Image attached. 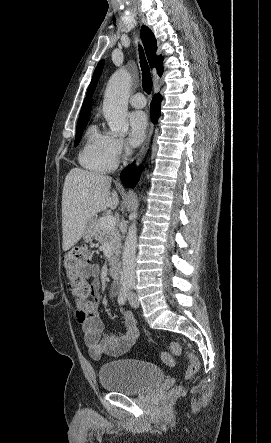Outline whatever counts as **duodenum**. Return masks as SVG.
I'll return each instance as SVG.
<instances>
[{
    "label": "duodenum",
    "mask_w": 271,
    "mask_h": 443,
    "mask_svg": "<svg viewBox=\"0 0 271 443\" xmlns=\"http://www.w3.org/2000/svg\"><path fill=\"white\" fill-rule=\"evenodd\" d=\"M109 272H110V275L114 278H118L120 276L121 267H120V263L117 259L111 260V262L109 264Z\"/></svg>",
    "instance_id": "1"
}]
</instances>
